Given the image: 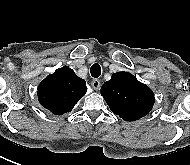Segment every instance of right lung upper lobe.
I'll use <instances>...</instances> for the list:
<instances>
[{"mask_svg":"<svg viewBox=\"0 0 190 165\" xmlns=\"http://www.w3.org/2000/svg\"><path fill=\"white\" fill-rule=\"evenodd\" d=\"M85 80L77 77L68 66H63L48 75L38 86V100L53 114L70 112L85 95Z\"/></svg>","mask_w":190,"mask_h":165,"instance_id":"cb5924a9","label":"right lung upper lobe"}]
</instances>
